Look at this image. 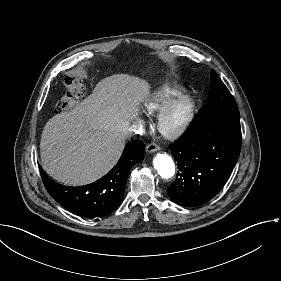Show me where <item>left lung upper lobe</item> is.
<instances>
[{
	"label": "left lung upper lobe",
	"instance_id": "left-lung-upper-lobe-1",
	"mask_svg": "<svg viewBox=\"0 0 281 281\" xmlns=\"http://www.w3.org/2000/svg\"><path fill=\"white\" fill-rule=\"evenodd\" d=\"M229 116L239 118L237 104L214 70L211 71L209 102L197 118Z\"/></svg>",
	"mask_w": 281,
	"mask_h": 281
}]
</instances>
